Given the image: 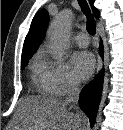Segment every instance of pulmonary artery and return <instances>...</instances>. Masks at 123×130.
I'll list each match as a JSON object with an SVG mask.
<instances>
[{"label": "pulmonary artery", "instance_id": "e3ab8cb5", "mask_svg": "<svg viewBox=\"0 0 123 130\" xmlns=\"http://www.w3.org/2000/svg\"><path fill=\"white\" fill-rule=\"evenodd\" d=\"M74 41L78 46L86 47L89 45V37L84 32H79L74 36Z\"/></svg>", "mask_w": 123, "mask_h": 130}]
</instances>
